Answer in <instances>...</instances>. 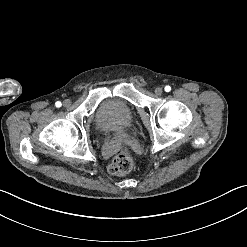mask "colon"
Instances as JSON below:
<instances>
[{
	"mask_svg": "<svg viewBox=\"0 0 247 247\" xmlns=\"http://www.w3.org/2000/svg\"><path fill=\"white\" fill-rule=\"evenodd\" d=\"M134 166V159L127 153L117 155L109 165V172L114 175H122L129 172Z\"/></svg>",
	"mask_w": 247,
	"mask_h": 247,
	"instance_id": "obj_1",
	"label": "colon"
}]
</instances>
